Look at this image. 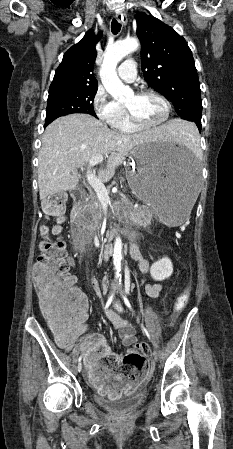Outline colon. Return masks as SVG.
I'll return each mask as SVG.
<instances>
[{"label": "colon", "mask_w": 233, "mask_h": 449, "mask_svg": "<svg viewBox=\"0 0 233 449\" xmlns=\"http://www.w3.org/2000/svg\"><path fill=\"white\" fill-rule=\"evenodd\" d=\"M67 197L58 194L49 197L44 203L47 216L62 219ZM46 240L41 243L42 254L34 267L33 278L39 292L41 309L56 331H61V324L66 330L82 331L85 322L86 300L82 291L75 286L64 263L66 253L60 241L50 242L49 230H44ZM190 298L189 287L185 288L175 300L173 316L177 317L187 306ZM137 350L127 353L120 368L127 375H136L138 368L147 367L149 346L140 342Z\"/></svg>", "instance_id": "1"}]
</instances>
